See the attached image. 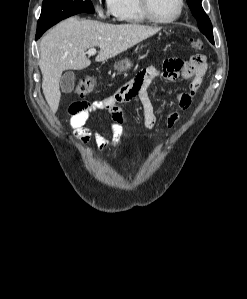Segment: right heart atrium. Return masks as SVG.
<instances>
[{
  "label": "right heart atrium",
  "mask_w": 247,
  "mask_h": 299,
  "mask_svg": "<svg viewBox=\"0 0 247 299\" xmlns=\"http://www.w3.org/2000/svg\"><path fill=\"white\" fill-rule=\"evenodd\" d=\"M94 9L98 17L105 18L111 13L110 0H96L94 2Z\"/></svg>",
  "instance_id": "right-heart-atrium-1"
}]
</instances>
